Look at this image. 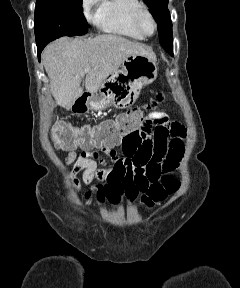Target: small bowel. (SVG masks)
<instances>
[{
    "instance_id": "obj_1",
    "label": "small bowel",
    "mask_w": 240,
    "mask_h": 288,
    "mask_svg": "<svg viewBox=\"0 0 240 288\" xmlns=\"http://www.w3.org/2000/svg\"><path fill=\"white\" fill-rule=\"evenodd\" d=\"M185 137L183 125L170 120L164 112H151L135 135L118 142L83 146L81 154L75 149L66 150L65 164L72 166V186L78 191L81 181L90 184L95 179L105 180V185L95 187L99 201L107 199L117 203L123 195L133 201L139 192H147L159 183L162 174L170 173L178 166L184 153ZM119 145L123 157L115 150ZM97 161L109 163L111 167L99 168Z\"/></svg>"
}]
</instances>
